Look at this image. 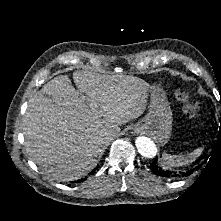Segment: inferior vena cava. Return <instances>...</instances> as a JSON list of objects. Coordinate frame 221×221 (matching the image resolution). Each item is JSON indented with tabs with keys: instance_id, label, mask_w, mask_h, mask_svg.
I'll return each mask as SVG.
<instances>
[{
	"instance_id": "602c4592",
	"label": "inferior vena cava",
	"mask_w": 221,
	"mask_h": 221,
	"mask_svg": "<svg viewBox=\"0 0 221 221\" xmlns=\"http://www.w3.org/2000/svg\"><path fill=\"white\" fill-rule=\"evenodd\" d=\"M104 138L107 139V140H112L114 139V136L110 133V132H105L103 134Z\"/></svg>"
}]
</instances>
